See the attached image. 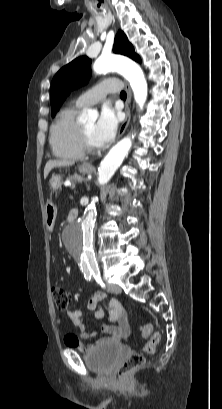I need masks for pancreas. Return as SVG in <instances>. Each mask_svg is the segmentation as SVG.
<instances>
[{
    "label": "pancreas",
    "mask_w": 222,
    "mask_h": 409,
    "mask_svg": "<svg viewBox=\"0 0 222 409\" xmlns=\"http://www.w3.org/2000/svg\"><path fill=\"white\" fill-rule=\"evenodd\" d=\"M84 180V178L82 177V176H80V175H77V174H75V175H72V176H69L68 178H67V181H71L73 184L76 182V181H83Z\"/></svg>",
    "instance_id": "cf45deb5"
}]
</instances>
